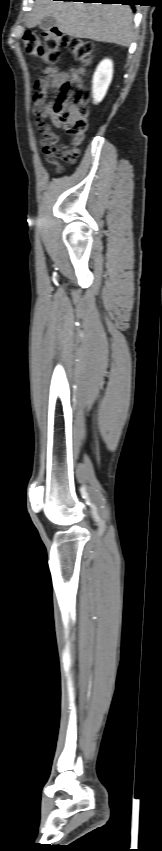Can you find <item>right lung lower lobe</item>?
I'll return each instance as SVG.
<instances>
[{
	"label": "right lung lower lobe",
	"instance_id": "1",
	"mask_svg": "<svg viewBox=\"0 0 162 851\" xmlns=\"http://www.w3.org/2000/svg\"><path fill=\"white\" fill-rule=\"evenodd\" d=\"M64 1H82V2H100L103 4H117L120 3L122 5H133L137 0H64Z\"/></svg>",
	"mask_w": 162,
	"mask_h": 851
}]
</instances>
